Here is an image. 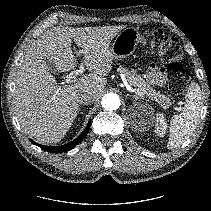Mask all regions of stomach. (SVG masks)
Masks as SVG:
<instances>
[{
  "label": "stomach",
  "mask_w": 211,
  "mask_h": 211,
  "mask_svg": "<svg viewBox=\"0 0 211 211\" xmlns=\"http://www.w3.org/2000/svg\"><path fill=\"white\" fill-rule=\"evenodd\" d=\"M143 36L134 27L122 29L111 44L110 50L115 59L130 56L139 43H142Z\"/></svg>",
  "instance_id": "obj_1"
}]
</instances>
